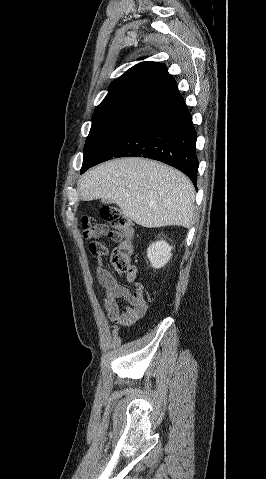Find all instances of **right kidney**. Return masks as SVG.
Wrapping results in <instances>:
<instances>
[{
    "mask_svg": "<svg viewBox=\"0 0 266 479\" xmlns=\"http://www.w3.org/2000/svg\"><path fill=\"white\" fill-rule=\"evenodd\" d=\"M171 250L172 247L163 240L152 243L147 249L151 266L155 269L165 266L172 256Z\"/></svg>",
    "mask_w": 266,
    "mask_h": 479,
    "instance_id": "right-kidney-1",
    "label": "right kidney"
}]
</instances>
